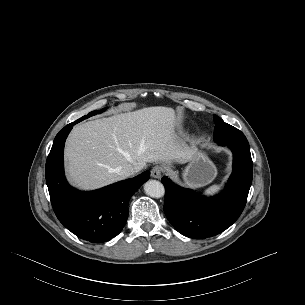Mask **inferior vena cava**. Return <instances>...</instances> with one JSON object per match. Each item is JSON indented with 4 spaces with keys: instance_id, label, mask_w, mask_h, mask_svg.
Returning a JSON list of instances; mask_svg holds the SVG:
<instances>
[{
    "instance_id": "1",
    "label": "inferior vena cava",
    "mask_w": 305,
    "mask_h": 305,
    "mask_svg": "<svg viewBox=\"0 0 305 305\" xmlns=\"http://www.w3.org/2000/svg\"><path fill=\"white\" fill-rule=\"evenodd\" d=\"M141 169H142V167H140V166H133L131 164H127L123 167L116 168L115 172L122 178H127V177L132 176L135 172H138Z\"/></svg>"
}]
</instances>
